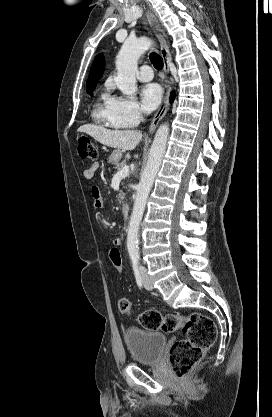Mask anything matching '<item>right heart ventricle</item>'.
Returning <instances> with one entry per match:
<instances>
[{
	"mask_svg": "<svg viewBox=\"0 0 272 417\" xmlns=\"http://www.w3.org/2000/svg\"><path fill=\"white\" fill-rule=\"evenodd\" d=\"M112 98L108 92H103L101 95V102L96 105L94 109V119L107 127L120 129L127 127L120 122L113 114L111 109Z\"/></svg>",
	"mask_w": 272,
	"mask_h": 417,
	"instance_id": "obj_1",
	"label": "right heart ventricle"
}]
</instances>
